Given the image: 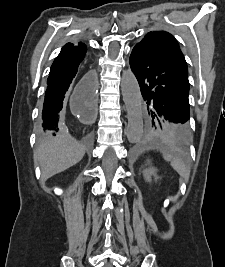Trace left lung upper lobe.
Segmentation results:
<instances>
[{
    "label": "left lung upper lobe",
    "mask_w": 225,
    "mask_h": 267,
    "mask_svg": "<svg viewBox=\"0 0 225 267\" xmlns=\"http://www.w3.org/2000/svg\"><path fill=\"white\" fill-rule=\"evenodd\" d=\"M146 36L154 37L155 39H158V40H163L166 43H170V44L178 47L177 40L170 33H167L164 31L163 32L152 31V32H149ZM151 116L153 118L152 119V125L155 128V130H157L158 132H160L164 136L173 139L174 141H176L179 144H185L188 141V139H189V126H188V124L182 125L180 127V130H183L185 132V138L181 139V138H179V136L176 133L177 125H175L174 123L169 122L163 118L157 117L155 115L154 111H152Z\"/></svg>",
    "instance_id": "left-lung-upper-lobe-1"
}]
</instances>
